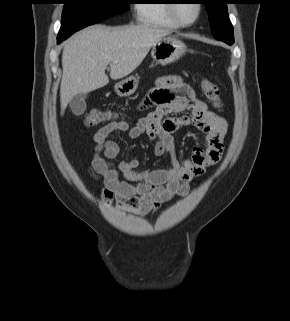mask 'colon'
I'll return each mask as SVG.
<instances>
[{
  "label": "colon",
  "instance_id": "5ec220e1",
  "mask_svg": "<svg viewBox=\"0 0 290 321\" xmlns=\"http://www.w3.org/2000/svg\"><path fill=\"white\" fill-rule=\"evenodd\" d=\"M201 88L206 97L211 101L214 107L220 109L222 107V101L220 97V91L217 85L210 80L203 78L201 80ZM111 119V114L105 111L93 109L89 111L85 116V125L87 127H94L101 123L107 122Z\"/></svg>",
  "mask_w": 290,
  "mask_h": 321
}]
</instances>
